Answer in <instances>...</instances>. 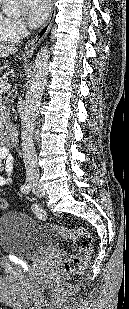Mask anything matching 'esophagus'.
I'll use <instances>...</instances> for the list:
<instances>
[{"label":"esophagus","mask_w":129,"mask_h":309,"mask_svg":"<svg viewBox=\"0 0 129 309\" xmlns=\"http://www.w3.org/2000/svg\"><path fill=\"white\" fill-rule=\"evenodd\" d=\"M55 15V6L52 4V9L47 22L40 28V30L31 38L25 48L26 55H32L37 46L43 41L49 33Z\"/></svg>","instance_id":"1"}]
</instances>
